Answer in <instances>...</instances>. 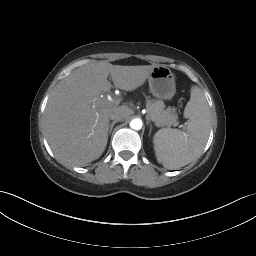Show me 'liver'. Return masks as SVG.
<instances>
[{"mask_svg": "<svg viewBox=\"0 0 256 256\" xmlns=\"http://www.w3.org/2000/svg\"><path fill=\"white\" fill-rule=\"evenodd\" d=\"M156 66L92 62L60 80L44 112L45 136L56 159L75 166L98 159L107 145L110 114L117 110L127 118L133 113L127 106L116 107L101 98L111 88L108 76L115 88L133 91L145 83Z\"/></svg>", "mask_w": 256, "mask_h": 256, "instance_id": "liver-1", "label": "liver"}]
</instances>
